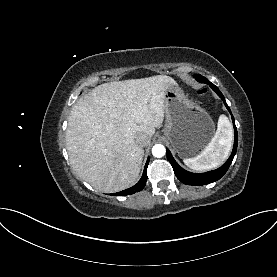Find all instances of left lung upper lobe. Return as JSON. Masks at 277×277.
<instances>
[{
	"label": "left lung upper lobe",
	"mask_w": 277,
	"mask_h": 277,
	"mask_svg": "<svg viewBox=\"0 0 277 277\" xmlns=\"http://www.w3.org/2000/svg\"><path fill=\"white\" fill-rule=\"evenodd\" d=\"M195 78L204 79L205 77H203V76H201V75L197 74V75H195Z\"/></svg>",
	"instance_id": "5c2ea615"
}]
</instances>
